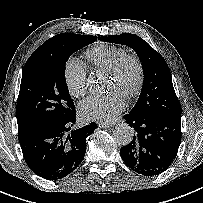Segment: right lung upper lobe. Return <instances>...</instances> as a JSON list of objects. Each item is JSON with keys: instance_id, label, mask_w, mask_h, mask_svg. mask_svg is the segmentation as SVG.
<instances>
[{"instance_id": "obj_1", "label": "right lung upper lobe", "mask_w": 203, "mask_h": 203, "mask_svg": "<svg viewBox=\"0 0 203 203\" xmlns=\"http://www.w3.org/2000/svg\"><path fill=\"white\" fill-rule=\"evenodd\" d=\"M72 33H61L57 34L54 37L48 39L45 41L40 47H38L34 52L33 55L43 53L49 50H52L57 45L68 39L70 36H72ZM26 131L25 129H20V133Z\"/></svg>"}]
</instances>
